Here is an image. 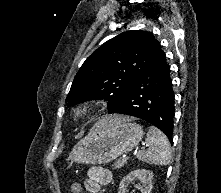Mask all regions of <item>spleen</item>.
Listing matches in <instances>:
<instances>
[{
    "mask_svg": "<svg viewBox=\"0 0 221 193\" xmlns=\"http://www.w3.org/2000/svg\"><path fill=\"white\" fill-rule=\"evenodd\" d=\"M146 150L137 153V158L148 164H169L171 158L170 145L167 137L155 127H150L146 138Z\"/></svg>",
    "mask_w": 221,
    "mask_h": 193,
    "instance_id": "spleen-1",
    "label": "spleen"
}]
</instances>
